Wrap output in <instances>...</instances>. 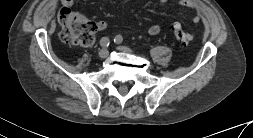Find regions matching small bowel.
<instances>
[{
	"label": "small bowel",
	"mask_w": 253,
	"mask_h": 138,
	"mask_svg": "<svg viewBox=\"0 0 253 138\" xmlns=\"http://www.w3.org/2000/svg\"><path fill=\"white\" fill-rule=\"evenodd\" d=\"M61 4L67 8H71L74 6V0H59ZM86 1V0H84ZM170 0H158L160 4H165L169 2ZM178 7L181 9L183 7H191L195 10V16L193 18V22L197 23L201 19V11L199 7L194 4L193 2H190L188 0H180L178 2ZM96 26V31H106L108 29V24L105 21H97L94 22ZM174 25H179L178 23H175ZM180 26V25H179ZM145 32L149 35H157L161 32V26L157 24H153L148 26L145 29Z\"/></svg>",
	"instance_id": "1"
}]
</instances>
